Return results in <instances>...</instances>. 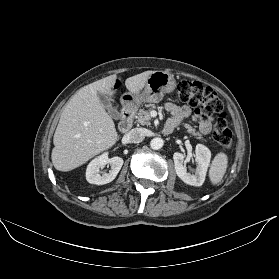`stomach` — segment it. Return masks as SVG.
I'll return each instance as SVG.
<instances>
[{
    "label": "stomach",
    "mask_w": 279,
    "mask_h": 279,
    "mask_svg": "<svg viewBox=\"0 0 279 279\" xmlns=\"http://www.w3.org/2000/svg\"><path fill=\"white\" fill-rule=\"evenodd\" d=\"M176 87L173 75L165 71H154L147 79L144 90L139 94L125 93L121 97L123 109L134 111L143 102H160L164 94L171 93Z\"/></svg>",
    "instance_id": "0dacf381"
}]
</instances>
